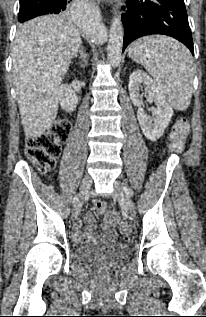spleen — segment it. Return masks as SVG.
<instances>
[{
	"mask_svg": "<svg viewBox=\"0 0 206 317\" xmlns=\"http://www.w3.org/2000/svg\"><path fill=\"white\" fill-rule=\"evenodd\" d=\"M129 56L153 75L155 86L171 107L179 111L188 108L194 73L186 47L170 37L153 35L134 41Z\"/></svg>",
	"mask_w": 206,
	"mask_h": 317,
	"instance_id": "spleen-1",
	"label": "spleen"
}]
</instances>
